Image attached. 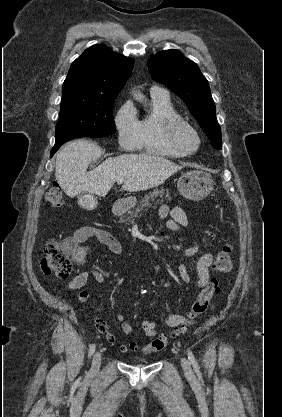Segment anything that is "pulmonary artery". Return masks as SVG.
Wrapping results in <instances>:
<instances>
[{"label":"pulmonary artery","instance_id":"pulmonary-artery-1","mask_svg":"<svg viewBox=\"0 0 282 417\" xmlns=\"http://www.w3.org/2000/svg\"><path fill=\"white\" fill-rule=\"evenodd\" d=\"M150 94L152 97H163V98L169 97V92L166 89L158 87V86H152L150 89Z\"/></svg>","mask_w":282,"mask_h":417}]
</instances>
